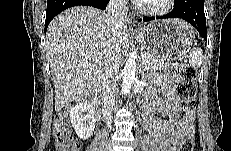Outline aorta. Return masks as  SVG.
I'll return each instance as SVG.
<instances>
[{
    "mask_svg": "<svg viewBox=\"0 0 231 151\" xmlns=\"http://www.w3.org/2000/svg\"><path fill=\"white\" fill-rule=\"evenodd\" d=\"M136 53H130L129 57L125 62L123 69V82H122V93L128 94L131 90L132 84L136 79Z\"/></svg>",
    "mask_w": 231,
    "mask_h": 151,
    "instance_id": "aorta-1",
    "label": "aorta"
}]
</instances>
